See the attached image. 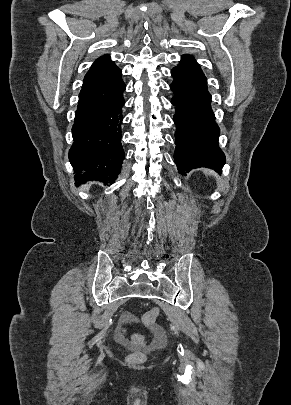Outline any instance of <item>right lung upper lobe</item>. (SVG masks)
<instances>
[{
	"mask_svg": "<svg viewBox=\"0 0 291 405\" xmlns=\"http://www.w3.org/2000/svg\"><path fill=\"white\" fill-rule=\"evenodd\" d=\"M120 69L111 61L109 55L98 58L85 75L83 86L117 74Z\"/></svg>",
	"mask_w": 291,
	"mask_h": 405,
	"instance_id": "1",
	"label": "right lung upper lobe"
}]
</instances>
